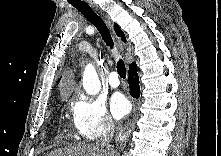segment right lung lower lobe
<instances>
[{
    "mask_svg": "<svg viewBox=\"0 0 221 156\" xmlns=\"http://www.w3.org/2000/svg\"><path fill=\"white\" fill-rule=\"evenodd\" d=\"M128 74H129L128 83L130 86V94L134 98H138L140 96V87H139V77L137 74L136 64H131L129 66Z\"/></svg>",
    "mask_w": 221,
    "mask_h": 156,
    "instance_id": "right-lung-lower-lobe-1",
    "label": "right lung lower lobe"
}]
</instances>
